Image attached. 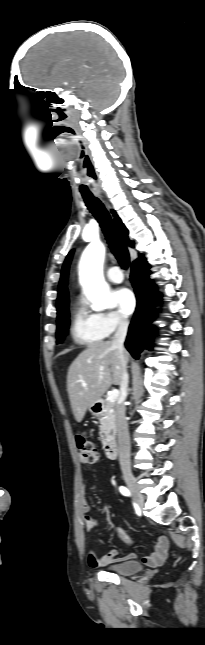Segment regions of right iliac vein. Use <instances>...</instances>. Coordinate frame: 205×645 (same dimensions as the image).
Masks as SVG:
<instances>
[{
  "mask_svg": "<svg viewBox=\"0 0 205 645\" xmlns=\"http://www.w3.org/2000/svg\"><path fill=\"white\" fill-rule=\"evenodd\" d=\"M124 480L129 490L132 492L136 503L138 504L139 507H142L144 503V497L140 492V489L138 487L135 477L131 473H126L124 474Z\"/></svg>",
  "mask_w": 205,
  "mask_h": 645,
  "instance_id": "right-iliac-vein-1",
  "label": "right iliac vein"
}]
</instances>
